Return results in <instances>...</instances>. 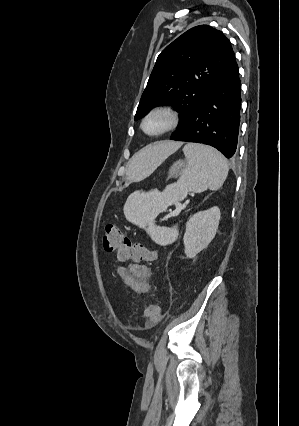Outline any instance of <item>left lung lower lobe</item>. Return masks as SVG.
<instances>
[{
	"instance_id": "left-lung-lower-lobe-1",
	"label": "left lung lower lobe",
	"mask_w": 299,
	"mask_h": 426,
	"mask_svg": "<svg viewBox=\"0 0 299 426\" xmlns=\"http://www.w3.org/2000/svg\"><path fill=\"white\" fill-rule=\"evenodd\" d=\"M241 86L235 57L171 140L211 145L232 158L237 149Z\"/></svg>"
}]
</instances>
